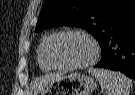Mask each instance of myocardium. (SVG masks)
I'll return each mask as SVG.
<instances>
[{"label":"myocardium","instance_id":"f54148a6","mask_svg":"<svg viewBox=\"0 0 135 95\" xmlns=\"http://www.w3.org/2000/svg\"><path fill=\"white\" fill-rule=\"evenodd\" d=\"M66 35H78V36H81V37H84L85 39H87L90 42L92 49H93L92 56L87 61H85L81 64L63 65V64L57 63L54 60L53 55H52L53 46L60 37L66 36ZM99 53H100L99 45L90 34H88L85 31H82V30L70 29V30L60 31L58 33H55L52 36V38L50 39V41L47 45V48H46V59H47V62L49 63V65L51 67H53L54 69L73 71V70L84 69V68H87L88 66L92 65L99 57Z\"/></svg>","mask_w":135,"mask_h":95}]
</instances>
